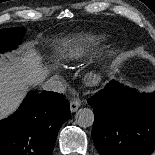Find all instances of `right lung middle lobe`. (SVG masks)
Segmentation results:
<instances>
[{
	"mask_svg": "<svg viewBox=\"0 0 155 155\" xmlns=\"http://www.w3.org/2000/svg\"><path fill=\"white\" fill-rule=\"evenodd\" d=\"M23 28L0 29V53L15 49L21 43Z\"/></svg>",
	"mask_w": 155,
	"mask_h": 155,
	"instance_id": "dd1d6c3e",
	"label": "right lung middle lobe"
}]
</instances>
